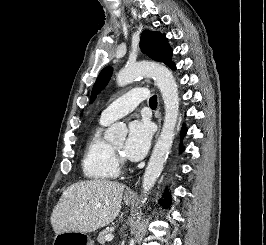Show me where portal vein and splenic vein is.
Here are the masks:
<instances>
[{
    "instance_id": "18ae733b",
    "label": "portal vein and splenic vein",
    "mask_w": 266,
    "mask_h": 245,
    "mask_svg": "<svg viewBox=\"0 0 266 245\" xmlns=\"http://www.w3.org/2000/svg\"><path fill=\"white\" fill-rule=\"evenodd\" d=\"M114 239L113 235H106L105 241H112Z\"/></svg>"
}]
</instances>
